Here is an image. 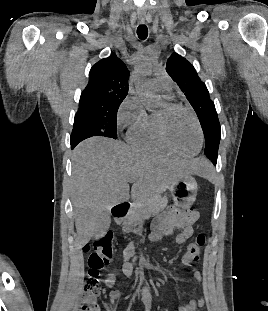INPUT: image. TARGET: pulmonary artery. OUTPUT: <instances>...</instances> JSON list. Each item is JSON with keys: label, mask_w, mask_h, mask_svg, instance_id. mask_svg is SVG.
<instances>
[{"label": "pulmonary artery", "mask_w": 268, "mask_h": 311, "mask_svg": "<svg viewBox=\"0 0 268 311\" xmlns=\"http://www.w3.org/2000/svg\"><path fill=\"white\" fill-rule=\"evenodd\" d=\"M152 85L156 91L163 92L165 93L166 97H170L171 84H170L169 77L167 75L160 74L156 76L152 80Z\"/></svg>", "instance_id": "1"}]
</instances>
